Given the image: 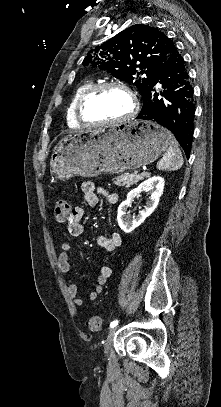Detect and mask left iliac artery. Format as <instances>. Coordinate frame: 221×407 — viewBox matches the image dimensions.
I'll return each mask as SVG.
<instances>
[{
    "instance_id": "left-iliac-artery-1",
    "label": "left iliac artery",
    "mask_w": 221,
    "mask_h": 407,
    "mask_svg": "<svg viewBox=\"0 0 221 407\" xmlns=\"http://www.w3.org/2000/svg\"><path fill=\"white\" fill-rule=\"evenodd\" d=\"M118 320H114V321H112L111 322V324H110V327L112 328V327H115L116 325H118Z\"/></svg>"
}]
</instances>
